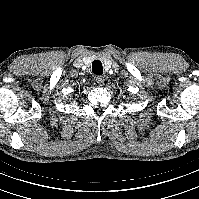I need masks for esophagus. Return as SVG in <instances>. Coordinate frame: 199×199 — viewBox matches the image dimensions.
Wrapping results in <instances>:
<instances>
[{
  "instance_id": "obj_1",
  "label": "esophagus",
  "mask_w": 199,
  "mask_h": 199,
  "mask_svg": "<svg viewBox=\"0 0 199 199\" xmlns=\"http://www.w3.org/2000/svg\"><path fill=\"white\" fill-rule=\"evenodd\" d=\"M95 81L98 85L103 86L105 84V78L103 76L96 77Z\"/></svg>"
}]
</instances>
